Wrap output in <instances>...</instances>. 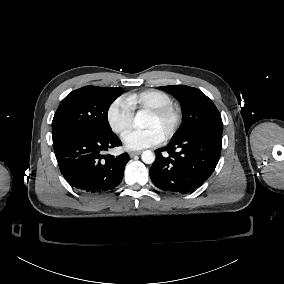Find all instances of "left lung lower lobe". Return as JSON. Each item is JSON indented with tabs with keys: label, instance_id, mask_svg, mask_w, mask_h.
Listing matches in <instances>:
<instances>
[{
	"label": "left lung lower lobe",
	"instance_id": "0a47b994",
	"mask_svg": "<svg viewBox=\"0 0 284 284\" xmlns=\"http://www.w3.org/2000/svg\"><path fill=\"white\" fill-rule=\"evenodd\" d=\"M221 144L222 133L215 131H198L172 138L166 147L156 150L157 158L149 170L153 184L173 193L195 190L215 170Z\"/></svg>",
	"mask_w": 284,
	"mask_h": 284
}]
</instances>
